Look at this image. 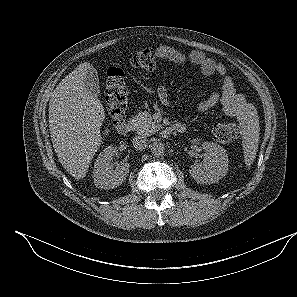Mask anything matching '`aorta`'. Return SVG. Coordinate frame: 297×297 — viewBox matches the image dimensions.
Masks as SVG:
<instances>
[{
    "label": "aorta",
    "mask_w": 297,
    "mask_h": 297,
    "mask_svg": "<svg viewBox=\"0 0 297 297\" xmlns=\"http://www.w3.org/2000/svg\"><path fill=\"white\" fill-rule=\"evenodd\" d=\"M150 150L153 155L162 156L165 153V146L162 142H153Z\"/></svg>",
    "instance_id": "762f6f07"
}]
</instances>
